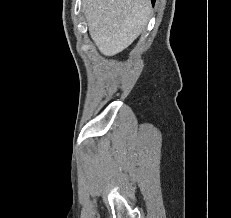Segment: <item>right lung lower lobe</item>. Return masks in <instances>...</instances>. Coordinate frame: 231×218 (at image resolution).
I'll return each mask as SVG.
<instances>
[{
    "mask_svg": "<svg viewBox=\"0 0 231 218\" xmlns=\"http://www.w3.org/2000/svg\"><path fill=\"white\" fill-rule=\"evenodd\" d=\"M152 1V4H154L155 3V0H151Z\"/></svg>",
    "mask_w": 231,
    "mask_h": 218,
    "instance_id": "right-lung-lower-lobe-1",
    "label": "right lung lower lobe"
}]
</instances>
